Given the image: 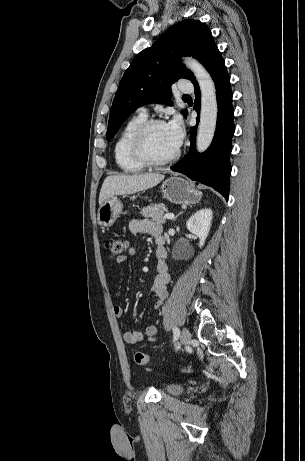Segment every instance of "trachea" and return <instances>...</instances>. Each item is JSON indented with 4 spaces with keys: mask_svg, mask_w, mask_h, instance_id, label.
Returning <instances> with one entry per match:
<instances>
[{
    "mask_svg": "<svg viewBox=\"0 0 305 461\" xmlns=\"http://www.w3.org/2000/svg\"><path fill=\"white\" fill-rule=\"evenodd\" d=\"M189 97H190L189 95H183L182 98L185 99V98H189Z\"/></svg>",
    "mask_w": 305,
    "mask_h": 461,
    "instance_id": "obj_1",
    "label": "trachea"
}]
</instances>
